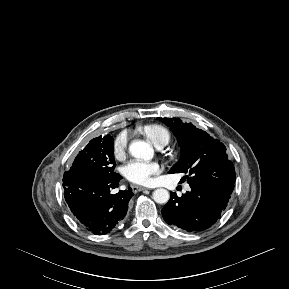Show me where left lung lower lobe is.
<instances>
[{
	"mask_svg": "<svg viewBox=\"0 0 289 289\" xmlns=\"http://www.w3.org/2000/svg\"><path fill=\"white\" fill-rule=\"evenodd\" d=\"M191 191L178 197L170 194V200L162 209L167 224L188 232L210 228L226 209L230 195L219 191L190 185Z\"/></svg>",
	"mask_w": 289,
	"mask_h": 289,
	"instance_id": "left-lung-lower-lobe-1",
	"label": "left lung lower lobe"
}]
</instances>
